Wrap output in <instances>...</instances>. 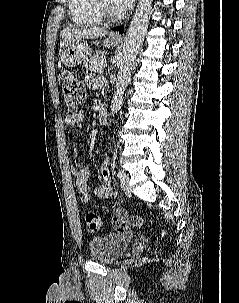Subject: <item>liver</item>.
I'll return each instance as SVG.
<instances>
[{
    "label": "liver",
    "mask_w": 239,
    "mask_h": 303,
    "mask_svg": "<svg viewBox=\"0 0 239 303\" xmlns=\"http://www.w3.org/2000/svg\"><path fill=\"white\" fill-rule=\"evenodd\" d=\"M108 32L102 28L71 29L66 28L61 33L60 46L64 48L71 42L80 39H92L105 36Z\"/></svg>",
    "instance_id": "1"
}]
</instances>
